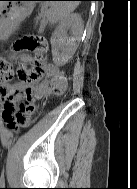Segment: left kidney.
<instances>
[{"instance_id":"left-kidney-1","label":"left kidney","mask_w":137,"mask_h":189,"mask_svg":"<svg viewBox=\"0 0 137 189\" xmlns=\"http://www.w3.org/2000/svg\"><path fill=\"white\" fill-rule=\"evenodd\" d=\"M75 16H73V15H71L70 13H66V15L64 16V18H63V20H62V22H61V24L59 25V27H58V29H57V31L55 32V35L58 37V38H60L59 39V45L60 46H63L64 44V42H63V40L61 39V36H60V34L63 32V29H64V26H65V23L68 21V20H70V19H73ZM76 18V17H75ZM63 56H62V60H60V58H57L59 61H65L66 59H68V57H69V53L67 52V49H65V48H63ZM55 59H56V57H55Z\"/></svg>"}]
</instances>
